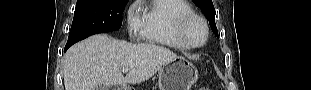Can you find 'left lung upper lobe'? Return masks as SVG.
<instances>
[{"label": "left lung upper lobe", "instance_id": "left-lung-upper-lobe-1", "mask_svg": "<svg viewBox=\"0 0 311 90\" xmlns=\"http://www.w3.org/2000/svg\"><path fill=\"white\" fill-rule=\"evenodd\" d=\"M195 4L201 8L205 17L209 20L210 27L213 33L218 36V31L215 24V9L212 0H194Z\"/></svg>", "mask_w": 311, "mask_h": 90}]
</instances>
